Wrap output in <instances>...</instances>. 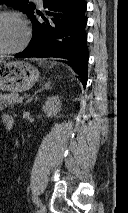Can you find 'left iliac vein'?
I'll return each instance as SVG.
<instances>
[{"instance_id": "left-iliac-vein-1", "label": "left iliac vein", "mask_w": 128, "mask_h": 213, "mask_svg": "<svg viewBox=\"0 0 128 213\" xmlns=\"http://www.w3.org/2000/svg\"><path fill=\"white\" fill-rule=\"evenodd\" d=\"M39 213H46V208L43 203H40L39 205Z\"/></svg>"}]
</instances>
